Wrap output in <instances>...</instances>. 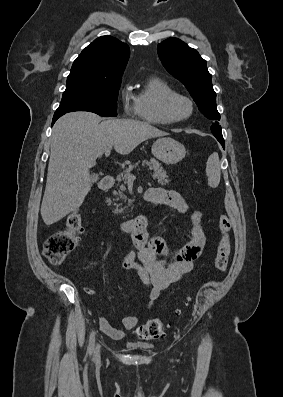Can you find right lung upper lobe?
<instances>
[{"instance_id": "1", "label": "right lung upper lobe", "mask_w": 283, "mask_h": 397, "mask_svg": "<svg viewBox=\"0 0 283 397\" xmlns=\"http://www.w3.org/2000/svg\"><path fill=\"white\" fill-rule=\"evenodd\" d=\"M129 55L127 44L112 36H101L81 52L70 74L107 80L122 79Z\"/></svg>"}]
</instances>
